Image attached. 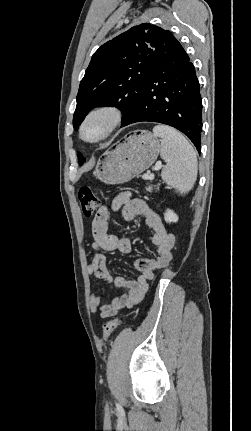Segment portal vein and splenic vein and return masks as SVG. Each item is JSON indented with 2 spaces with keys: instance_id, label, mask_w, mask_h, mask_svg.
Masks as SVG:
<instances>
[{
  "instance_id": "18ae733b",
  "label": "portal vein and splenic vein",
  "mask_w": 251,
  "mask_h": 431,
  "mask_svg": "<svg viewBox=\"0 0 251 431\" xmlns=\"http://www.w3.org/2000/svg\"><path fill=\"white\" fill-rule=\"evenodd\" d=\"M162 167V163H158V164H156V166H155V170H158V169H160ZM154 178V174H150V175H148V174H145V175H143V179H145V180H152Z\"/></svg>"
}]
</instances>
